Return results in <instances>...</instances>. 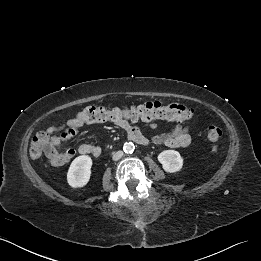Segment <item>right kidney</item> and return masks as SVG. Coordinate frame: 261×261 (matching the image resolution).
<instances>
[{"label": "right kidney", "mask_w": 261, "mask_h": 261, "mask_svg": "<svg viewBox=\"0 0 261 261\" xmlns=\"http://www.w3.org/2000/svg\"><path fill=\"white\" fill-rule=\"evenodd\" d=\"M92 159L87 155L75 158L68 170L67 181L73 188L85 186L91 176Z\"/></svg>", "instance_id": "1"}]
</instances>
